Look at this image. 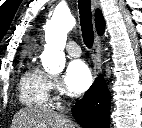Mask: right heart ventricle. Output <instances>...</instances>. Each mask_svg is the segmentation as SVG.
I'll use <instances>...</instances> for the list:
<instances>
[{"label": "right heart ventricle", "mask_w": 142, "mask_h": 128, "mask_svg": "<svg viewBox=\"0 0 142 128\" xmlns=\"http://www.w3.org/2000/svg\"><path fill=\"white\" fill-rule=\"evenodd\" d=\"M46 75L34 66H29L20 79L19 96L28 106L42 107L49 102Z\"/></svg>", "instance_id": "obj_1"}]
</instances>
